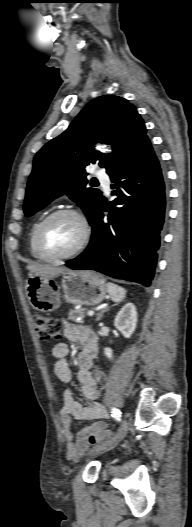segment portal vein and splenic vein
I'll return each mask as SVG.
<instances>
[{
    "label": "portal vein and splenic vein",
    "mask_w": 192,
    "mask_h": 527,
    "mask_svg": "<svg viewBox=\"0 0 192 527\" xmlns=\"http://www.w3.org/2000/svg\"><path fill=\"white\" fill-rule=\"evenodd\" d=\"M87 315H88V316H92V315H94V311H93V310L88 311V312H87Z\"/></svg>",
    "instance_id": "portal-vein-and-splenic-vein-1"
}]
</instances>
